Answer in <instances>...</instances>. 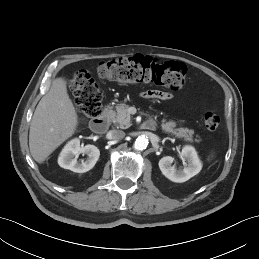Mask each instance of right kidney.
Instances as JSON below:
<instances>
[{
    "label": "right kidney",
    "instance_id": "obj_1",
    "mask_svg": "<svg viewBox=\"0 0 259 259\" xmlns=\"http://www.w3.org/2000/svg\"><path fill=\"white\" fill-rule=\"evenodd\" d=\"M86 154L87 159L81 162L77 161L79 154ZM100 156L99 149L94 145H86L80 147V140L75 138L68 142L60 153L58 164L64 169H69L73 172L84 173L94 167Z\"/></svg>",
    "mask_w": 259,
    "mask_h": 259
}]
</instances>
